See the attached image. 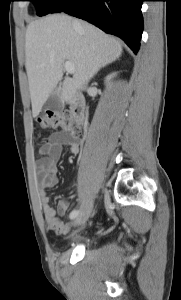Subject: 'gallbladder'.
<instances>
[{
  "instance_id": "bac80fb5",
  "label": "gallbladder",
  "mask_w": 181,
  "mask_h": 300,
  "mask_svg": "<svg viewBox=\"0 0 181 300\" xmlns=\"http://www.w3.org/2000/svg\"><path fill=\"white\" fill-rule=\"evenodd\" d=\"M59 87V86H58ZM63 108V104L60 100V97L57 93H53L44 103L43 110L44 111H61Z\"/></svg>"
}]
</instances>
